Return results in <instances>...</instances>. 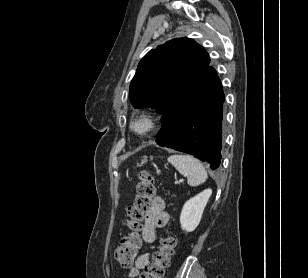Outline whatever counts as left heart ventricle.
<instances>
[{"label": "left heart ventricle", "instance_id": "b2bd125f", "mask_svg": "<svg viewBox=\"0 0 308 278\" xmlns=\"http://www.w3.org/2000/svg\"><path fill=\"white\" fill-rule=\"evenodd\" d=\"M138 127H139V128H141V127H142V125H138Z\"/></svg>", "mask_w": 308, "mask_h": 278}]
</instances>
